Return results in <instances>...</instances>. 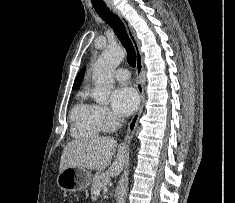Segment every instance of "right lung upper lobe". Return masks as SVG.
<instances>
[{
    "label": "right lung upper lobe",
    "instance_id": "right-lung-upper-lobe-1",
    "mask_svg": "<svg viewBox=\"0 0 235 203\" xmlns=\"http://www.w3.org/2000/svg\"><path fill=\"white\" fill-rule=\"evenodd\" d=\"M84 72H85V68H83L81 72L78 74V76L76 77L74 85H73V89H76L81 84L83 77H84Z\"/></svg>",
    "mask_w": 235,
    "mask_h": 203
}]
</instances>
